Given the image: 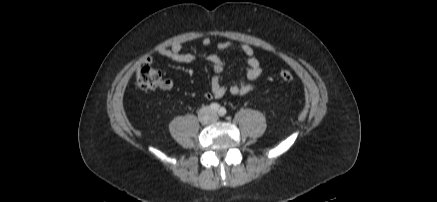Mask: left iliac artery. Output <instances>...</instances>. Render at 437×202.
I'll list each match as a JSON object with an SVG mask.
<instances>
[{
	"mask_svg": "<svg viewBox=\"0 0 437 202\" xmlns=\"http://www.w3.org/2000/svg\"><path fill=\"white\" fill-rule=\"evenodd\" d=\"M218 113L220 116H224L226 114V109L224 107H221Z\"/></svg>",
	"mask_w": 437,
	"mask_h": 202,
	"instance_id": "left-iliac-artery-1",
	"label": "left iliac artery"
}]
</instances>
